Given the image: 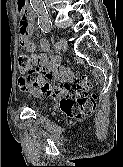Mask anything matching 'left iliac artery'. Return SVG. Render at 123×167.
Masks as SVG:
<instances>
[{
    "mask_svg": "<svg viewBox=\"0 0 123 167\" xmlns=\"http://www.w3.org/2000/svg\"><path fill=\"white\" fill-rule=\"evenodd\" d=\"M54 47H55V49H57V50L60 49V44H59V42H56L55 45H54Z\"/></svg>",
    "mask_w": 123,
    "mask_h": 167,
    "instance_id": "left-iliac-artery-1",
    "label": "left iliac artery"
}]
</instances>
